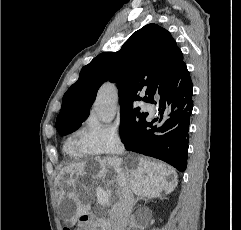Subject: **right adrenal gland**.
Instances as JSON below:
<instances>
[{"label": "right adrenal gland", "mask_w": 241, "mask_h": 230, "mask_svg": "<svg viewBox=\"0 0 241 230\" xmlns=\"http://www.w3.org/2000/svg\"><path fill=\"white\" fill-rule=\"evenodd\" d=\"M139 200L148 201L149 198H146V197H138V198L134 201V206L137 204V202H138Z\"/></svg>", "instance_id": "1"}]
</instances>
